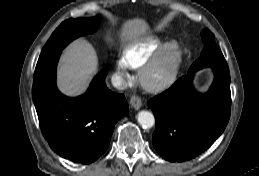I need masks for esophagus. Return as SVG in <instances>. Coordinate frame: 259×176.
I'll return each instance as SVG.
<instances>
[{
  "label": "esophagus",
  "mask_w": 259,
  "mask_h": 176,
  "mask_svg": "<svg viewBox=\"0 0 259 176\" xmlns=\"http://www.w3.org/2000/svg\"><path fill=\"white\" fill-rule=\"evenodd\" d=\"M130 104L134 109H139L142 106L140 97L133 95L130 99Z\"/></svg>",
  "instance_id": "esophagus-1"
}]
</instances>
